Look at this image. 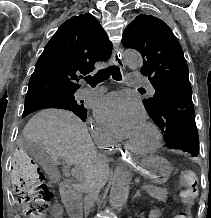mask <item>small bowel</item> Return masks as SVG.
Masks as SVG:
<instances>
[{"instance_id":"1","label":"small bowel","mask_w":211,"mask_h":218,"mask_svg":"<svg viewBox=\"0 0 211 218\" xmlns=\"http://www.w3.org/2000/svg\"><path fill=\"white\" fill-rule=\"evenodd\" d=\"M149 218H161V211L158 208L152 209L149 213Z\"/></svg>"}]
</instances>
